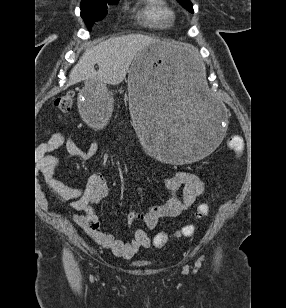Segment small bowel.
<instances>
[{
  "label": "small bowel",
  "mask_w": 286,
  "mask_h": 308,
  "mask_svg": "<svg viewBox=\"0 0 286 308\" xmlns=\"http://www.w3.org/2000/svg\"><path fill=\"white\" fill-rule=\"evenodd\" d=\"M64 148L74 157L88 159L97 152L96 143L87 150L81 149L71 138L61 133H54L40 148V171L44 181L54 195L61 201H70L72 209L84 214H75L72 220L79 225L101 247L122 258L133 257L140 249L150 247V238L144 229H137L130 242H125L114 235L101 230L93 205L104 199L109 191L108 182L100 172L91 174L82 188L70 187L54 174L58 159L49 152ZM164 187L171 193L163 203L150 207L145 213L132 212L128 223L140 221L148 230L154 229L162 218L177 217L190 209L204 190V182L199 174L192 171H179L163 181Z\"/></svg>",
  "instance_id": "obj_1"
}]
</instances>
